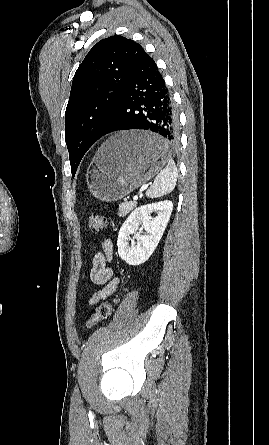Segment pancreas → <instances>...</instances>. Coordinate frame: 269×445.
<instances>
[{"label": "pancreas", "mask_w": 269, "mask_h": 445, "mask_svg": "<svg viewBox=\"0 0 269 445\" xmlns=\"http://www.w3.org/2000/svg\"><path fill=\"white\" fill-rule=\"evenodd\" d=\"M136 207V202H124L119 205L118 216H126L133 208Z\"/></svg>", "instance_id": "pancreas-1"}]
</instances>
